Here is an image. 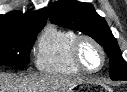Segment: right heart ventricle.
I'll return each instance as SVG.
<instances>
[{
    "instance_id": "right-heart-ventricle-1",
    "label": "right heart ventricle",
    "mask_w": 127,
    "mask_h": 92,
    "mask_svg": "<svg viewBox=\"0 0 127 92\" xmlns=\"http://www.w3.org/2000/svg\"><path fill=\"white\" fill-rule=\"evenodd\" d=\"M78 34L57 25H48L41 33L35 52V66L44 73L76 75L80 70L74 65L71 49Z\"/></svg>"
}]
</instances>
